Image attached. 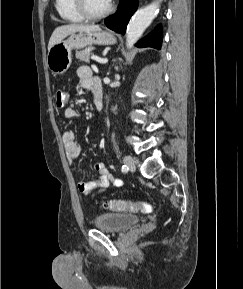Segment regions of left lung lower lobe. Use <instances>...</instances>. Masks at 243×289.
Returning <instances> with one entry per match:
<instances>
[{
  "label": "left lung lower lobe",
  "instance_id": "1",
  "mask_svg": "<svg viewBox=\"0 0 243 289\" xmlns=\"http://www.w3.org/2000/svg\"><path fill=\"white\" fill-rule=\"evenodd\" d=\"M138 0H120L119 7L115 14L105 19V24L108 28L117 33L124 34L126 26L138 7ZM162 45V30L158 25L152 32L137 43L138 47H153L161 49Z\"/></svg>",
  "mask_w": 243,
  "mask_h": 289
}]
</instances>
